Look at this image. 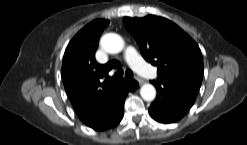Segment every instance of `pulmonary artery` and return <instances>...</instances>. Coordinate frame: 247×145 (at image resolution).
I'll use <instances>...</instances> for the list:
<instances>
[{
    "instance_id": "e3ab8cb5",
    "label": "pulmonary artery",
    "mask_w": 247,
    "mask_h": 145,
    "mask_svg": "<svg viewBox=\"0 0 247 145\" xmlns=\"http://www.w3.org/2000/svg\"><path fill=\"white\" fill-rule=\"evenodd\" d=\"M127 63L138 73L152 77L154 75L152 68L148 67L141 59L137 51L133 47H128L124 53Z\"/></svg>"
}]
</instances>
